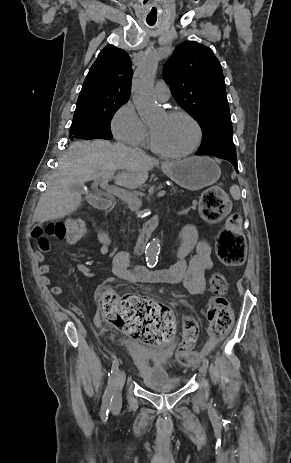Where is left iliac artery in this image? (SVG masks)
Instances as JSON below:
<instances>
[{"label":"left iliac artery","instance_id":"left-iliac-artery-1","mask_svg":"<svg viewBox=\"0 0 291 463\" xmlns=\"http://www.w3.org/2000/svg\"><path fill=\"white\" fill-rule=\"evenodd\" d=\"M203 364H204L206 367H208L209 361H208L207 358H204V359H203Z\"/></svg>","mask_w":291,"mask_h":463}]
</instances>
